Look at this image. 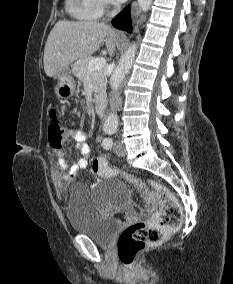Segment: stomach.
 I'll return each instance as SVG.
<instances>
[{"label":"stomach","instance_id":"1","mask_svg":"<svg viewBox=\"0 0 233 284\" xmlns=\"http://www.w3.org/2000/svg\"><path fill=\"white\" fill-rule=\"evenodd\" d=\"M53 78L56 81L55 93L59 98L67 99L74 94L76 84L69 67L53 76Z\"/></svg>","mask_w":233,"mask_h":284}]
</instances>
